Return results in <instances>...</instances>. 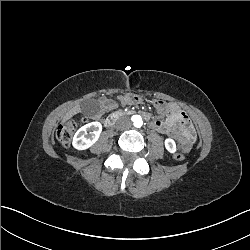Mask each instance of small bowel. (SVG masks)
I'll list each match as a JSON object with an SVG mask.
<instances>
[{
    "mask_svg": "<svg viewBox=\"0 0 250 250\" xmlns=\"http://www.w3.org/2000/svg\"><path fill=\"white\" fill-rule=\"evenodd\" d=\"M137 97L140 100H137ZM119 100L124 105H135L139 104L142 98L135 94H126L121 96ZM98 103L99 111L101 112L113 110L117 107L116 101L108 97H102ZM154 106L160 115L170 113V118L167 122H163L160 119L153 120L150 124L151 128L156 132L179 139L182 149L188 150L195 139V130L186 113L175 103L156 100L154 101ZM143 115L149 118V114L143 112Z\"/></svg>",
    "mask_w": 250,
    "mask_h": 250,
    "instance_id": "c3829d8e",
    "label": "small bowel"
}]
</instances>
